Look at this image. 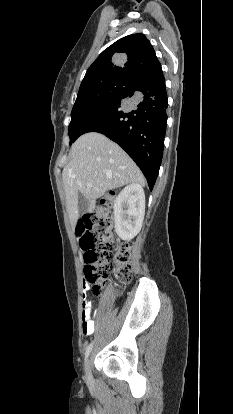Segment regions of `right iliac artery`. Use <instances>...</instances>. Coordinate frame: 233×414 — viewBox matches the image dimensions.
Segmentation results:
<instances>
[{"label":"right iliac artery","instance_id":"right-iliac-artery-1","mask_svg":"<svg viewBox=\"0 0 233 414\" xmlns=\"http://www.w3.org/2000/svg\"><path fill=\"white\" fill-rule=\"evenodd\" d=\"M92 347H93V342H91V343L87 346V348H86V351H85V360L88 358V356H89V354H90V352H91V350H92Z\"/></svg>","mask_w":233,"mask_h":414}]
</instances>
